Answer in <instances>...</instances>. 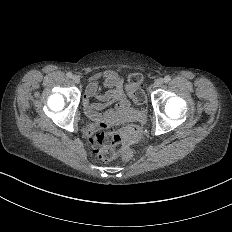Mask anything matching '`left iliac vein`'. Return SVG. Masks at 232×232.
<instances>
[{"label":"left iliac vein","instance_id":"1","mask_svg":"<svg viewBox=\"0 0 232 232\" xmlns=\"http://www.w3.org/2000/svg\"><path fill=\"white\" fill-rule=\"evenodd\" d=\"M162 84H163V79H162V78H157V79L155 80V86H156V87H161Z\"/></svg>","mask_w":232,"mask_h":232}]
</instances>
